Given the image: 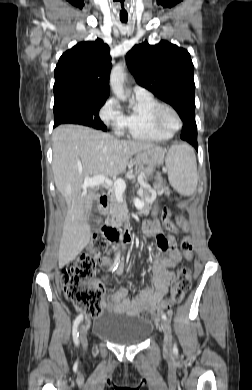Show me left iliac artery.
<instances>
[{
    "mask_svg": "<svg viewBox=\"0 0 252 390\" xmlns=\"http://www.w3.org/2000/svg\"><path fill=\"white\" fill-rule=\"evenodd\" d=\"M162 319L163 320H167V316L165 314L162 315ZM174 351H177V346L176 344L174 345V348H173Z\"/></svg>",
    "mask_w": 252,
    "mask_h": 390,
    "instance_id": "1",
    "label": "left iliac artery"
}]
</instances>
